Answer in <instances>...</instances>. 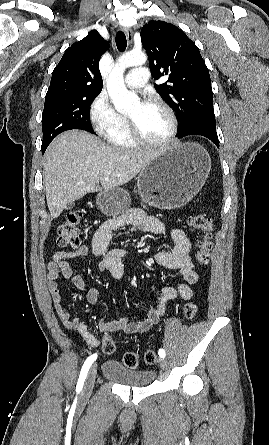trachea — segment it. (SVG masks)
I'll return each instance as SVG.
<instances>
[{
	"mask_svg": "<svg viewBox=\"0 0 269 445\" xmlns=\"http://www.w3.org/2000/svg\"><path fill=\"white\" fill-rule=\"evenodd\" d=\"M115 40H116L117 49L120 52H123L127 46V40H126V36H125L124 32H122V31L117 32Z\"/></svg>",
	"mask_w": 269,
	"mask_h": 445,
	"instance_id": "obj_1",
	"label": "trachea"
}]
</instances>
